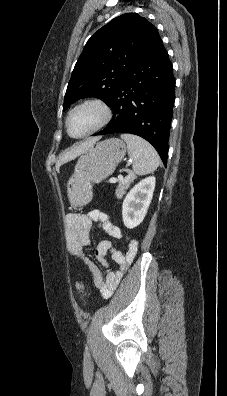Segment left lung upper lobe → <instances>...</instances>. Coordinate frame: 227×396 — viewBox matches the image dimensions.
<instances>
[{
    "label": "left lung upper lobe",
    "instance_id": "1",
    "mask_svg": "<svg viewBox=\"0 0 227 396\" xmlns=\"http://www.w3.org/2000/svg\"><path fill=\"white\" fill-rule=\"evenodd\" d=\"M161 40L144 17L125 13L99 29L86 43L71 75L63 108L81 98L109 105L129 71Z\"/></svg>",
    "mask_w": 227,
    "mask_h": 396
}]
</instances>
